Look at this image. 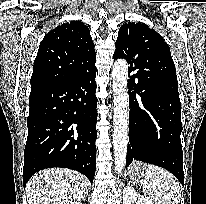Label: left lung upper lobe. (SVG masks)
I'll use <instances>...</instances> for the list:
<instances>
[{"label": "left lung upper lobe", "mask_w": 206, "mask_h": 204, "mask_svg": "<svg viewBox=\"0 0 206 204\" xmlns=\"http://www.w3.org/2000/svg\"><path fill=\"white\" fill-rule=\"evenodd\" d=\"M113 58L126 59L130 67L149 69L147 83L157 82L162 76L178 83L168 44L144 23L128 22L120 28Z\"/></svg>", "instance_id": "left-lung-upper-lobe-1"}]
</instances>
